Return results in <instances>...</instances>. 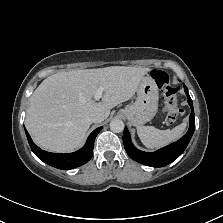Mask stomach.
Returning a JSON list of instances; mask_svg holds the SVG:
<instances>
[{
	"label": "stomach",
	"instance_id": "1",
	"mask_svg": "<svg viewBox=\"0 0 223 223\" xmlns=\"http://www.w3.org/2000/svg\"><path fill=\"white\" fill-rule=\"evenodd\" d=\"M136 93V101L122 110V113L133 126L141 127L152 119L157 108L158 88L152 71L141 78Z\"/></svg>",
	"mask_w": 223,
	"mask_h": 223
}]
</instances>
